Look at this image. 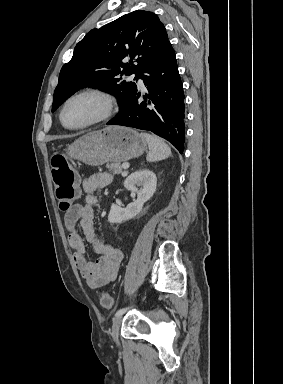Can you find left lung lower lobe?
<instances>
[{
    "instance_id": "0a47b994",
    "label": "left lung lower lobe",
    "mask_w": 283,
    "mask_h": 384,
    "mask_svg": "<svg viewBox=\"0 0 283 384\" xmlns=\"http://www.w3.org/2000/svg\"><path fill=\"white\" fill-rule=\"evenodd\" d=\"M139 78L143 80L148 90V94L144 96L146 102H138L140 94L137 93L136 88L125 110L107 124L152 131L168 140L180 153H183L185 96L175 52L170 42L144 69Z\"/></svg>"
}]
</instances>
